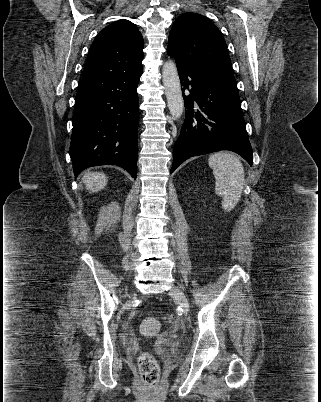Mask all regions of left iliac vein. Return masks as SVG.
<instances>
[{"mask_svg": "<svg viewBox=\"0 0 321 402\" xmlns=\"http://www.w3.org/2000/svg\"><path fill=\"white\" fill-rule=\"evenodd\" d=\"M170 295L174 298V300H176V302L180 305L184 312H189L190 306L188 299L180 288H178L177 286H172L170 290Z\"/></svg>", "mask_w": 321, "mask_h": 402, "instance_id": "obj_1", "label": "left iliac vein"}]
</instances>
